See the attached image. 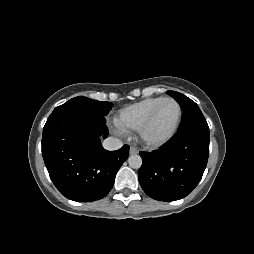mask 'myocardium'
<instances>
[{"label":"myocardium","mask_w":254,"mask_h":254,"mask_svg":"<svg viewBox=\"0 0 254 254\" xmlns=\"http://www.w3.org/2000/svg\"><path fill=\"white\" fill-rule=\"evenodd\" d=\"M166 102H173L178 107V117H177L176 123H175L174 127L172 128V130L165 137H163L159 140H151L147 137V130L150 127V125L152 124V122H153L157 112L161 108V106ZM181 119H182L181 104L174 98H164L152 109V111L149 113V115L146 117V119L140 125V127L138 129L139 138L144 145H146L150 148L161 147V146L165 145L167 142H169L175 136V134L180 126Z\"/></svg>","instance_id":"f54148a6"}]
</instances>
